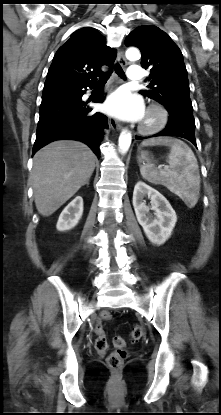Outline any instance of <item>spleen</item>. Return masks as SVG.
<instances>
[{"label": "spleen", "instance_id": "1", "mask_svg": "<svg viewBox=\"0 0 221 415\" xmlns=\"http://www.w3.org/2000/svg\"><path fill=\"white\" fill-rule=\"evenodd\" d=\"M153 145H165L170 148L167 159L169 166L157 169L153 164H143L140 166L142 177L152 184L165 186L187 206L194 207L199 199L200 175L193 151L183 141L168 137L148 139L141 144Z\"/></svg>", "mask_w": 221, "mask_h": 415}]
</instances>
